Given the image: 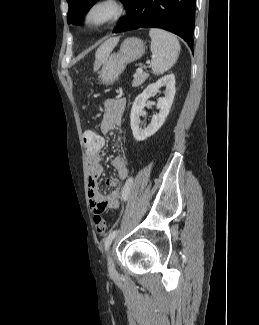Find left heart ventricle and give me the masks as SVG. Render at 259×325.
<instances>
[{
  "label": "left heart ventricle",
  "mask_w": 259,
  "mask_h": 325,
  "mask_svg": "<svg viewBox=\"0 0 259 325\" xmlns=\"http://www.w3.org/2000/svg\"><path fill=\"white\" fill-rule=\"evenodd\" d=\"M112 13V9L109 6H102L97 8L93 13L94 20H101L108 17Z\"/></svg>",
  "instance_id": "1"
}]
</instances>
